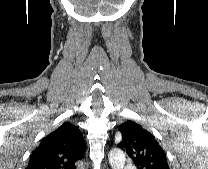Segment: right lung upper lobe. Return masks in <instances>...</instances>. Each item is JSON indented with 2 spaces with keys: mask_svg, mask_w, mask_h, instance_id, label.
Returning a JSON list of instances; mask_svg holds the SVG:
<instances>
[{
  "mask_svg": "<svg viewBox=\"0 0 208 169\" xmlns=\"http://www.w3.org/2000/svg\"><path fill=\"white\" fill-rule=\"evenodd\" d=\"M84 138L78 126L63 123L33 151L26 169H75L83 158Z\"/></svg>",
  "mask_w": 208,
  "mask_h": 169,
  "instance_id": "obj_1",
  "label": "right lung upper lobe"
}]
</instances>
